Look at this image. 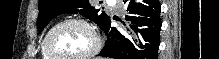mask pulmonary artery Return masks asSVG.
Wrapping results in <instances>:
<instances>
[{
  "instance_id": "pulmonary-artery-1",
  "label": "pulmonary artery",
  "mask_w": 219,
  "mask_h": 59,
  "mask_svg": "<svg viewBox=\"0 0 219 59\" xmlns=\"http://www.w3.org/2000/svg\"><path fill=\"white\" fill-rule=\"evenodd\" d=\"M108 5L117 8V6L120 4V1H107Z\"/></svg>"
}]
</instances>
